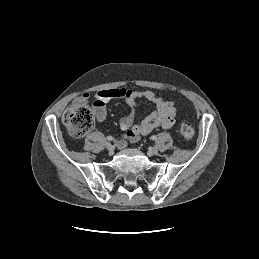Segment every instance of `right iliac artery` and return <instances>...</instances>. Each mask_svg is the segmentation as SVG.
<instances>
[{"mask_svg": "<svg viewBox=\"0 0 259 259\" xmlns=\"http://www.w3.org/2000/svg\"><path fill=\"white\" fill-rule=\"evenodd\" d=\"M114 138L112 136H107L108 141H112Z\"/></svg>", "mask_w": 259, "mask_h": 259, "instance_id": "right-iliac-artery-1", "label": "right iliac artery"}]
</instances>
